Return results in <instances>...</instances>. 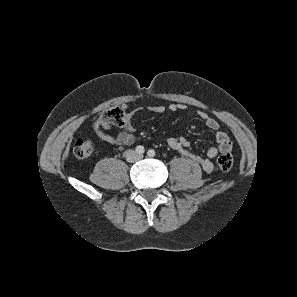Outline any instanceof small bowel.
Masks as SVG:
<instances>
[{"label":"small bowel","instance_id":"1","mask_svg":"<svg viewBox=\"0 0 297 297\" xmlns=\"http://www.w3.org/2000/svg\"><path fill=\"white\" fill-rule=\"evenodd\" d=\"M187 106L184 104H170L169 106H152L150 110L154 113H164L165 111H183L186 110ZM196 115L202 119L206 126L215 132V140L216 145L210 147L206 155L203 156L200 153L193 151L190 147V142L184 137H171L168 139V146L179 153L182 156L190 158L193 162L198 164L204 172L210 174L213 171V163L212 159H214L219 153L230 152L232 149V143L224 131L220 130L219 122L212 116H210L207 112L202 110H197ZM94 130L97 136L110 144H115L119 146H130L135 142V126L131 121V114H126L125 121L122 127V131L118 133L116 136H112L106 133L104 130L108 128V126L101 124L99 121L94 123Z\"/></svg>","mask_w":297,"mask_h":297}]
</instances>
